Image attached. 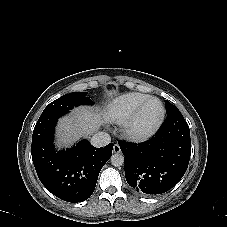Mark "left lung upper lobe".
I'll return each mask as SVG.
<instances>
[{
    "label": "left lung upper lobe",
    "instance_id": "1",
    "mask_svg": "<svg viewBox=\"0 0 227 227\" xmlns=\"http://www.w3.org/2000/svg\"><path fill=\"white\" fill-rule=\"evenodd\" d=\"M165 105H166V113H170L172 110L176 108L173 104H171L169 101L165 100Z\"/></svg>",
    "mask_w": 227,
    "mask_h": 227
}]
</instances>
